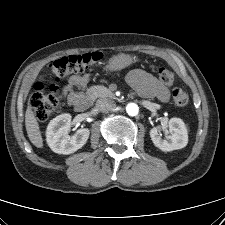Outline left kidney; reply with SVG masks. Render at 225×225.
<instances>
[{
	"instance_id": "5707ae66",
	"label": "left kidney",
	"mask_w": 225,
	"mask_h": 225,
	"mask_svg": "<svg viewBox=\"0 0 225 225\" xmlns=\"http://www.w3.org/2000/svg\"><path fill=\"white\" fill-rule=\"evenodd\" d=\"M168 126L170 134L165 139L160 134V127L150 130V137L154 145L164 152L184 148L188 143V134L184 122L180 118H171Z\"/></svg>"
}]
</instances>
